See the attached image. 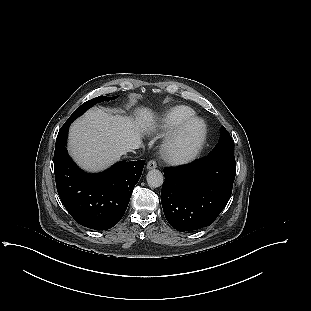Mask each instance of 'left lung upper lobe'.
Listing matches in <instances>:
<instances>
[{
  "mask_svg": "<svg viewBox=\"0 0 311 311\" xmlns=\"http://www.w3.org/2000/svg\"><path fill=\"white\" fill-rule=\"evenodd\" d=\"M208 155L234 158V141L223 126L220 129V138L218 144Z\"/></svg>",
  "mask_w": 311,
  "mask_h": 311,
  "instance_id": "5c2ea615",
  "label": "left lung upper lobe"
}]
</instances>
